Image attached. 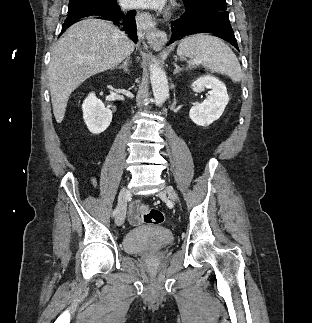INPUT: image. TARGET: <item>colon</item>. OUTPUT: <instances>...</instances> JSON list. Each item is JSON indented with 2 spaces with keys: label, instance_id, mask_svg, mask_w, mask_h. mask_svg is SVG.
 <instances>
[{
  "label": "colon",
  "instance_id": "1",
  "mask_svg": "<svg viewBox=\"0 0 312 323\" xmlns=\"http://www.w3.org/2000/svg\"><path fill=\"white\" fill-rule=\"evenodd\" d=\"M139 211L142 214L143 221L147 224L160 225L164 222V214L158 208L142 204L139 206Z\"/></svg>",
  "mask_w": 312,
  "mask_h": 323
}]
</instances>
